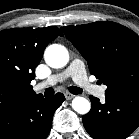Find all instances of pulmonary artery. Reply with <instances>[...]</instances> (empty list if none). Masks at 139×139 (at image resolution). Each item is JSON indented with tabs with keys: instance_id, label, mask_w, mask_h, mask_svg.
I'll return each instance as SVG.
<instances>
[{
	"instance_id": "e3ab8cb5",
	"label": "pulmonary artery",
	"mask_w": 139,
	"mask_h": 139,
	"mask_svg": "<svg viewBox=\"0 0 139 139\" xmlns=\"http://www.w3.org/2000/svg\"><path fill=\"white\" fill-rule=\"evenodd\" d=\"M69 77H71L83 91L93 94L101 99L105 97L106 87L95 85L88 79L84 64L79 59L73 60L63 72L54 74L38 84L37 89L55 85L58 82H63Z\"/></svg>"
}]
</instances>
